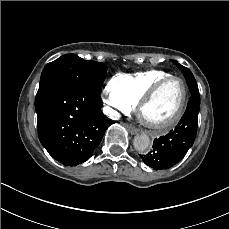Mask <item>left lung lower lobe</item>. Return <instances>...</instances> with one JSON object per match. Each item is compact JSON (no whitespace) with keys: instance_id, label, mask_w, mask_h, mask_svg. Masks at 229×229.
<instances>
[{"instance_id":"left-lung-lower-lobe-1","label":"left lung lower lobe","mask_w":229,"mask_h":229,"mask_svg":"<svg viewBox=\"0 0 229 229\" xmlns=\"http://www.w3.org/2000/svg\"><path fill=\"white\" fill-rule=\"evenodd\" d=\"M191 97L187 109L179 124L167 135L156 138L153 150L146 155H140L145 164L154 170L168 169L179 163L193 145L198 126L200 95L193 74L184 75Z\"/></svg>"}]
</instances>
